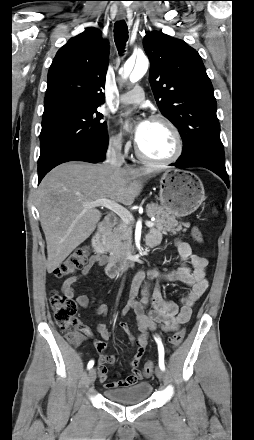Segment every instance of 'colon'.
<instances>
[{"label":"colon","mask_w":254,"mask_h":440,"mask_svg":"<svg viewBox=\"0 0 254 440\" xmlns=\"http://www.w3.org/2000/svg\"><path fill=\"white\" fill-rule=\"evenodd\" d=\"M192 238L202 244L204 236L197 227L191 230ZM89 249L85 246L76 249L63 262H61L53 271L57 277H65L71 275L80 269L88 260ZM50 304L53 311L54 321L58 328L68 332V340L72 343H78L82 339V326L76 319L77 305L64 293L52 291L50 295ZM185 337V330L176 331L170 340L172 348H177ZM154 364L146 362L143 372L146 376L153 374Z\"/></svg>","instance_id":"obj_1"}]
</instances>
